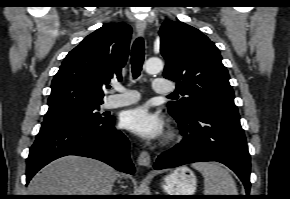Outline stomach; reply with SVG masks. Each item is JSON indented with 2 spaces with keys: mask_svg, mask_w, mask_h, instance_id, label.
Returning <instances> with one entry per match:
<instances>
[{
  "mask_svg": "<svg viewBox=\"0 0 290 199\" xmlns=\"http://www.w3.org/2000/svg\"><path fill=\"white\" fill-rule=\"evenodd\" d=\"M196 176L187 167L174 170L165 178L164 190L168 195H193L196 190Z\"/></svg>",
  "mask_w": 290,
  "mask_h": 199,
  "instance_id": "obj_1",
  "label": "stomach"
}]
</instances>
